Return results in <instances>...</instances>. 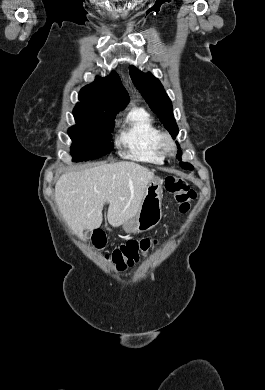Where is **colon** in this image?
I'll list each match as a JSON object with an SVG mask.
<instances>
[{
	"label": "colon",
	"instance_id": "colon-1",
	"mask_svg": "<svg viewBox=\"0 0 265 390\" xmlns=\"http://www.w3.org/2000/svg\"><path fill=\"white\" fill-rule=\"evenodd\" d=\"M165 188L174 195L179 203L180 212L186 213L189 211L196 193L186 180L174 176L167 177ZM92 241L95 247L102 248L105 244V237L101 232H96L92 237ZM156 243L157 240L155 238L130 240L107 253L105 258L112 262L118 270H124L137 264Z\"/></svg>",
	"mask_w": 265,
	"mask_h": 390
}]
</instances>
